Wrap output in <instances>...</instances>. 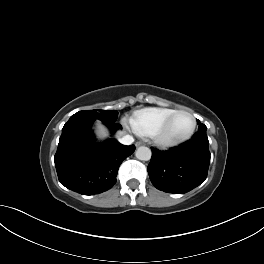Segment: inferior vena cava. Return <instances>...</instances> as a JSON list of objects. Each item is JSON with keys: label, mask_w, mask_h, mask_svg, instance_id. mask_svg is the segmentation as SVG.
<instances>
[{"label": "inferior vena cava", "mask_w": 264, "mask_h": 264, "mask_svg": "<svg viewBox=\"0 0 264 264\" xmlns=\"http://www.w3.org/2000/svg\"><path fill=\"white\" fill-rule=\"evenodd\" d=\"M120 142L124 145H131L134 142V139L130 135H125L120 139Z\"/></svg>", "instance_id": "obj_1"}]
</instances>
